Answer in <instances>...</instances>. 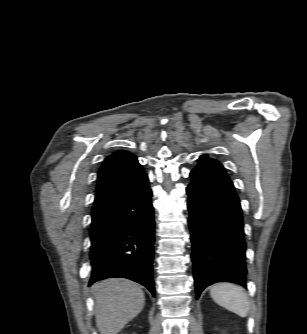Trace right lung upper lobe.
I'll list each match as a JSON object with an SVG mask.
<instances>
[{
  "mask_svg": "<svg viewBox=\"0 0 307 334\" xmlns=\"http://www.w3.org/2000/svg\"><path fill=\"white\" fill-rule=\"evenodd\" d=\"M145 175L137 158L124 150L108 156L98 171L94 206L130 187Z\"/></svg>",
  "mask_w": 307,
  "mask_h": 334,
  "instance_id": "1",
  "label": "right lung upper lobe"
}]
</instances>
